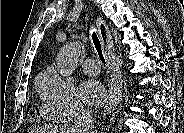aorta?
Wrapping results in <instances>:
<instances>
[{"label":"aorta","instance_id":"762f6f07","mask_svg":"<svg viewBox=\"0 0 184 133\" xmlns=\"http://www.w3.org/2000/svg\"><path fill=\"white\" fill-rule=\"evenodd\" d=\"M83 50L80 42L73 41L65 44L57 56V71L63 77H68L75 71Z\"/></svg>","mask_w":184,"mask_h":133}]
</instances>
